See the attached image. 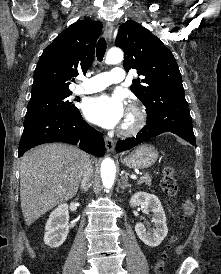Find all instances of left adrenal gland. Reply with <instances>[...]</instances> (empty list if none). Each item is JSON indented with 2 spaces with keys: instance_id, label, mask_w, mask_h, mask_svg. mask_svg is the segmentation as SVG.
<instances>
[{
  "instance_id": "1",
  "label": "left adrenal gland",
  "mask_w": 221,
  "mask_h": 274,
  "mask_svg": "<svg viewBox=\"0 0 221 274\" xmlns=\"http://www.w3.org/2000/svg\"><path fill=\"white\" fill-rule=\"evenodd\" d=\"M121 180H122V184H121L120 187H121L122 190H124V189L127 188V187H129V188L132 187V185L129 184V183L125 180L124 177H122Z\"/></svg>"
}]
</instances>
